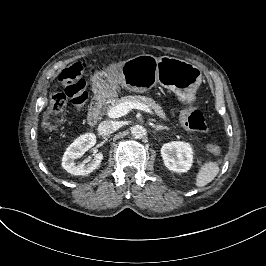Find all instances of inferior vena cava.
Returning <instances> with one entry per match:
<instances>
[{
  "label": "inferior vena cava",
  "instance_id": "1",
  "mask_svg": "<svg viewBox=\"0 0 266 266\" xmlns=\"http://www.w3.org/2000/svg\"><path fill=\"white\" fill-rule=\"evenodd\" d=\"M100 135H110L116 131V125L112 121H102L97 128Z\"/></svg>",
  "mask_w": 266,
  "mask_h": 266
}]
</instances>
